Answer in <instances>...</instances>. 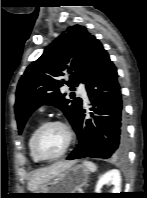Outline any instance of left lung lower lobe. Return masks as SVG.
<instances>
[{
	"mask_svg": "<svg viewBox=\"0 0 147 198\" xmlns=\"http://www.w3.org/2000/svg\"><path fill=\"white\" fill-rule=\"evenodd\" d=\"M85 84L93 105L92 119H87L81 109L74 128L78 142L67 159L123 157L127 133L117 69L97 39L93 42Z\"/></svg>",
	"mask_w": 147,
	"mask_h": 198,
	"instance_id": "0a47b994",
	"label": "left lung lower lobe"
}]
</instances>
